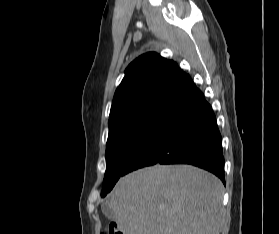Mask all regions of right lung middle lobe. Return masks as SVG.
Segmentation results:
<instances>
[{"label":"right lung middle lobe","mask_w":279,"mask_h":234,"mask_svg":"<svg viewBox=\"0 0 279 234\" xmlns=\"http://www.w3.org/2000/svg\"><path fill=\"white\" fill-rule=\"evenodd\" d=\"M170 107L148 106L120 114L108 121L106 172L101 196L111 191L131 156Z\"/></svg>","instance_id":"1"}]
</instances>
